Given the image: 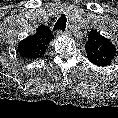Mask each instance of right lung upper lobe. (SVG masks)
Masks as SVG:
<instances>
[{"label": "right lung upper lobe", "instance_id": "cb5924a9", "mask_svg": "<svg viewBox=\"0 0 118 118\" xmlns=\"http://www.w3.org/2000/svg\"><path fill=\"white\" fill-rule=\"evenodd\" d=\"M36 30L34 35L28 36L18 45L19 54L26 59L34 60L41 57L49 41L53 39L50 29L45 25H40Z\"/></svg>", "mask_w": 118, "mask_h": 118}]
</instances>
